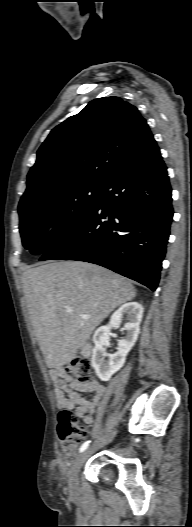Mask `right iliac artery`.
<instances>
[{
	"instance_id": "obj_1",
	"label": "right iliac artery",
	"mask_w": 192,
	"mask_h": 527,
	"mask_svg": "<svg viewBox=\"0 0 192 527\" xmlns=\"http://www.w3.org/2000/svg\"><path fill=\"white\" fill-rule=\"evenodd\" d=\"M89 443H90V441H86V442H84V443L81 445V447H80V449H79V452H83V451H85V450L88 448Z\"/></svg>"
}]
</instances>
